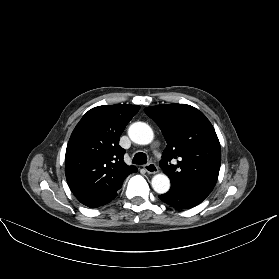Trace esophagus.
<instances>
[{
	"instance_id": "esophagus-1",
	"label": "esophagus",
	"mask_w": 279,
	"mask_h": 279,
	"mask_svg": "<svg viewBox=\"0 0 279 279\" xmlns=\"http://www.w3.org/2000/svg\"><path fill=\"white\" fill-rule=\"evenodd\" d=\"M144 169L149 174H155L158 172V167L154 163H148L144 166Z\"/></svg>"
}]
</instances>
